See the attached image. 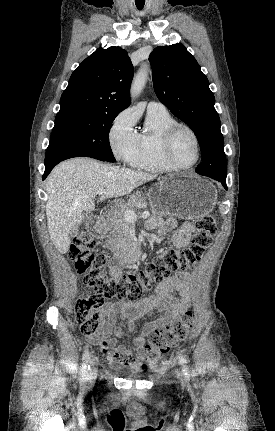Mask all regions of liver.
Wrapping results in <instances>:
<instances>
[{
    "label": "liver",
    "instance_id": "1",
    "mask_svg": "<svg viewBox=\"0 0 275 431\" xmlns=\"http://www.w3.org/2000/svg\"><path fill=\"white\" fill-rule=\"evenodd\" d=\"M155 178L156 175L89 158H75L57 165L46 180L47 226L56 249L61 254L69 250V234L84 221L83 212L95 209L93 200L98 190L104 191L100 201L117 198Z\"/></svg>",
    "mask_w": 275,
    "mask_h": 431
}]
</instances>
